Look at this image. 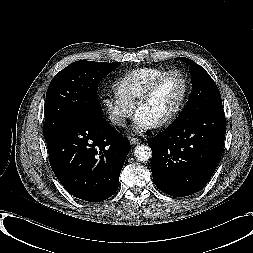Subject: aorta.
Masks as SVG:
<instances>
[{"instance_id":"aorta-1","label":"aorta","mask_w":253,"mask_h":253,"mask_svg":"<svg viewBox=\"0 0 253 253\" xmlns=\"http://www.w3.org/2000/svg\"><path fill=\"white\" fill-rule=\"evenodd\" d=\"M134 156L138 161H147L152 157L151 148L147 145H139L135 148Z\"/></svg>"}]
</instances>
